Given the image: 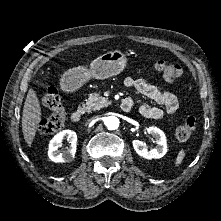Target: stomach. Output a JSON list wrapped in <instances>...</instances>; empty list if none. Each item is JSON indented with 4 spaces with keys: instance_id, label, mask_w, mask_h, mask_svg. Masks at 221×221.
Segmentation results:
<instances>
[{
    "instance_id": "1",
    "label": "stomach",
    "mask_w": 221,
    "mask_h": 221,
    "mask_svg": "<svg viewBox=\"0 0 221 221\" xmlns=\"http://www.w3.org/2000/svg\"><path fill=\"white\" fill-rule=\"evenodd\" d=\"M126 64L127 57L123 52L109 51L93 60L89 68L78 66L66 71L62 78L63 87L75 91L91 79L103 80L118 75Z\"/></svg>"
}]
</instances>
